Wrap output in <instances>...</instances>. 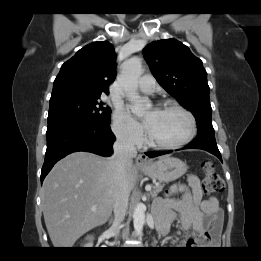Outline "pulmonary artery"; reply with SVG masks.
<instances>
[{"label": "pulmonary artery", "mask_w": 261, "mask_h": 261, "mask_svg": "<svg viewBox=\"0 0 261 261\" xmlns=\"http://www.w3.org/2000/svg\"><path fill=\"white\" fill-rule=\"evenodd\" d=\"M138 88L141 92L151 94L156 88V81L151 75H144L138 81Z\"/></svg>", "instance_id": "e3ab8cb5"}]
</instances>
